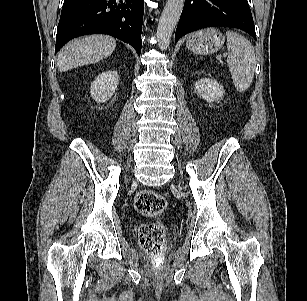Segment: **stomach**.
Masks as SVG:
<instances>
[{
    "label": "stomach",
    "instance_id": "obj_1",
    "mask_svg": "<svg viewBox=\"0 0 307 301\" xmlns=\"http://www.w3.org/2000/svg\"><path fill=\"white\" fill-rule=\"evenodd\" d=\"M225 37L215 28H207L188 35L187 48L197 54L217 52L224 44Z\"/></svg>",
    "mask_w": 307,
    "mask_h": 301
}]
</instances>
